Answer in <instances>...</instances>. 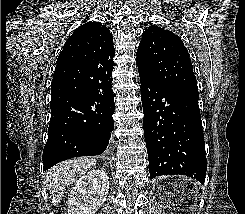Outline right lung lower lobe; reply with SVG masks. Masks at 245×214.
<instances>
[{
    "label": "right lung lower lobe",
    "instance_id": "98d812e1",
    "mask_svg": "<svg viewBox=\"0 0 245 214\" xmlns=\"http://www.w3.org/2000/svg\"><path fill=\"white\" fill-rule=\"evenodd\" d=\"M113 66L100 67L77 93L51 92V118L43 151L44 170L79 156L102 154L109 145L115 110Z\"/></svg>",
    "mask_w": 245,
    "mask_h": 214
}]
</instances>
